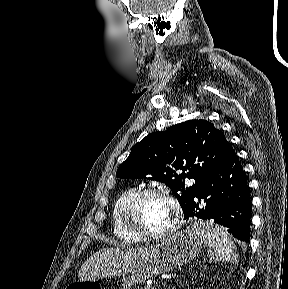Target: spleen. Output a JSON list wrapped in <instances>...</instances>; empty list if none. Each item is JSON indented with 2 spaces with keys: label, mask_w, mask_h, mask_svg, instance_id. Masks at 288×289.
Instances as JSON below:
<instances>
[{
  "label": "spleen",
  "mask_w": 288,
  "mask_h": 289,
  "mask_svg": "<svg viewBox=\"0 0 288 289\" xmlns=\"http://www.w3.org/2000/svg\"><path fill=\"white\" fill-rule=\"evenodd\" d=\"M192 227L194 233L208 248V257L211 261L238 264L237 248L223 226L214 224L212 221L198 220Z\"/></svg>",
  "instance_id": "1"
}]
</instances>
